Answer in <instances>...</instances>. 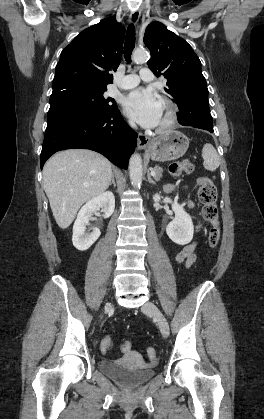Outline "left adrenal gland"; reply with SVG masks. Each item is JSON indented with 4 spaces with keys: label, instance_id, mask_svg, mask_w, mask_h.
Instances as JSON below:
<instances>
[{
    "label": "left adrenal gland",
    "instance_id": "a2214340",
    "mask_svg": "<svg viewBox=\"0 0 264 419\" xmlns=\"http://www.w3.org/2000/svg\"><path fill=\"white\" fill-rule=\"evenodd\" d=\"M148 182L149 183H152V184H156V182L151 178V175L149 174V172H148Z\"/></svg>",
    "mask_w": 264,
    "mask_h": 419
}]
</instances>
